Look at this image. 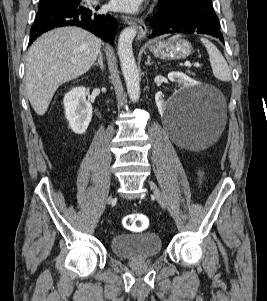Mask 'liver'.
Returning <instances> with one entry per match:
<instances>
[{"mask_svg":"<svg viewBox=\"0 0 267 301\" xmlns=\"http://www.w3.org/2000/svg\"><path fill=\"white\" fill-rule=\"evenodd\" d=\"M101 40L78 27H61L39 37L29 48L25 87L34 111L46 113L63 83L85 74L95 63Z\"/></svg>","mask_w":267,"mask_h":301,"instance_id":"1","label":"liver"}]
</instances>
